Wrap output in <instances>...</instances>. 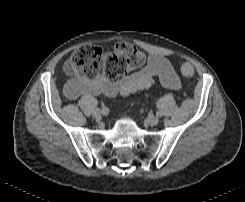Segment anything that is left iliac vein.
<instances>
[{"instance_id":"4c4485c4","label":"left iliac vein","mask_w":245,"mask_h":202,"mask_svg":"<svg viewBox=\"0 0 245 202\" xmlns=\"http://www.w3.org/2000/svg\"><path fill=\"white\" fill-rule=\"evenodd\" d=\"M146 122L151 126H155L159 123V118L156 116H152V117L147 118Z\"/></svg>"}]
</instances>
